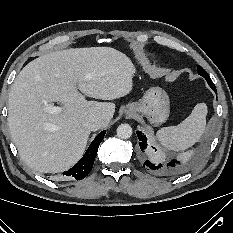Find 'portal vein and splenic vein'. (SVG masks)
I'll list each match as a JSON object with an SVG mask.
<instances>
[{
  "mask_svg": "<svg viewBox=\"0 0 233 233\" xmlns=\"http://www.w3.org/2000/svg\"><path fill=\"white\" fill-rule=\"evenodd\" d=\"M61 107L58 106H49L47 107V112L50 114H58L61 112Z\"/></svg>",
  "mask_w": 233,
  "mask_h": 233,
  "instance_id": "18ae733b",
  "label": "portal vein and splenic vein"
}]
</instances>
